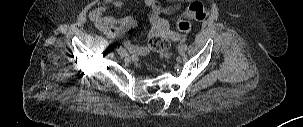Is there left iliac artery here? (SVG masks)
Wrapping results in <instances>:
<instances>
[{"label":"left iliac artery","instance_id":"obj_1","mask_svg":"<svg viewBox=\"0 0 303 127\" xmlns=\"http://www.w3.org/2000/svg\"><path fill=\"white\" fill-rule=\"evenodd\" d=\"M181 47H182V49L185 50V51L188 49L187 44H182Z\"/></svg>","mask_w":303,"mask_h":127}]
</instances>
